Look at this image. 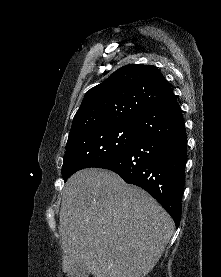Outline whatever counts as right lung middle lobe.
Listing matches in <instances>:
<instances>
[{
    "label": "right lung middle lobe",
    "mask_w": 221,
    "mask_h": 277,
    "mask_svg": "<svg viewBox=\"0 0 221 277\" xmlns=\"http://www.w3.org/2000/svg\"><path fill=\"white\" fill-rule=\"evenodd\" d=\"M136 122L93 127L68 138L64 181L78 170L98 167L124 154L136 135Z\"/></svg>",
    "instance_id": "right-lung-middle-lobe-1"
}]
</instances>
